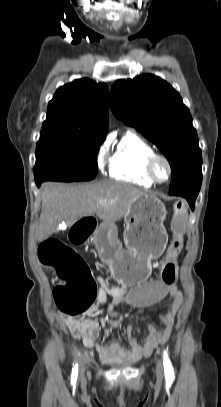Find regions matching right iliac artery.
I'll use <instances>...</instances> for the list:
<instances>
[{
  "label": "right iliac artery",
  "mask_w": 221,
  "mask_h": 407,
  "mask_svg": "<svg viewBox=\"0 0 221 407\" xmlns=\"http://www.w3.org/2000/svg\"><path fill=\"white\" fill-rule=\"evenodd\" d=\"M77 375H78V365L76 364L72 372V379L76 380Z\"/></svg>",
  "instance_id": "1"
}]
</instances>
